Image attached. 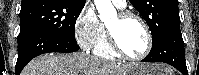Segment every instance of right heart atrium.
Listing matches in <instances>:
<instances>
[{
	"label": "right heart atrium",
	"instance_id": "right-heart-atrium-1",
	"mask_svg": "<svg viewBox=\"0 0 199 75\" xmlns=\"http://www.w3.org/2000/svg\"><path fill=\"white\" fill-rule=\"evenodd\" d=\"M74 33L78 44L85 50L94 49L104 34V28L92 8L85 7L79 14Z\"/></svg>",
	"mask_w": 199,
	"mask_h": 75
}]
</instances>
